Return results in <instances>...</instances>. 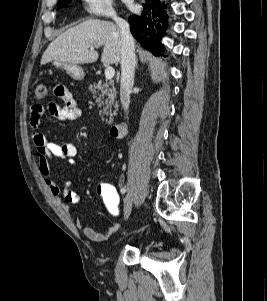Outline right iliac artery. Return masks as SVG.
<instances>
[{"mask_svg": "<svg viewBox=\"0 0 267 301\" xmlns=\"http://www.w3.org/2000/svg\"><path fill=\"white\" fill-rule=\"evenodd\" d=\"M120 191H121L122 194H124L126 192V189L125 188H121Z\"/></svg>", "mask_w": 267, "mask_h": 301, "instance_id": "obj_1", "label": "right iliac artery"}]
</instances>
